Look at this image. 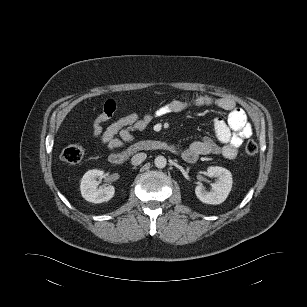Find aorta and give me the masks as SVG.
Here are the masks:
<instances>
[{
	"mask_svg": "<svg viewBox=\"0 0 307 307\" xmlns=\"http://www.w3.org/2000/svg\"><path fill=\"white\" fill-rule=\"evenodd\" d=\"M154 164L157 168H165L166 164H167V160L164 156H157L154 160Z\"/></svg>",
	"mask_w": 307,
	"mask_h": 307,
	"instance_id": "aorta-1",
	"label": "aorta"
}]
</instances>
